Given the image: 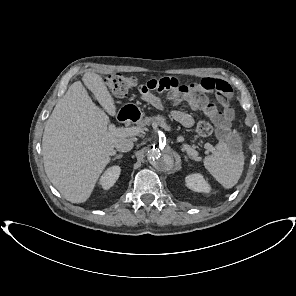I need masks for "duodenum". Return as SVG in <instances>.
Instances as JSON below:
<instances>
[{
    "mask_svg": "<svg viewBox=\"0 0 296 296\" xmlns=\"http://www.w3.org/2000/svg\"><path fill=\"white\" fill-rule=\"evenodd\" d=\"M139 118V112L136 109H124L119 112L118 119L120 121H136Z\"/></svg>",
    "mask_w": 296,
    "mask_h": 296,
    "instance_id": "1",
    "label": "duodenum"
}]
</instances>
